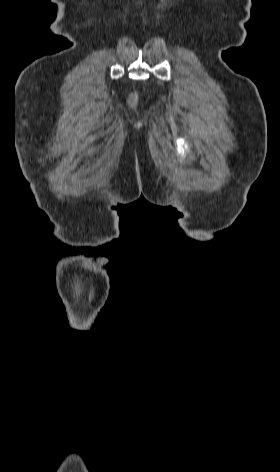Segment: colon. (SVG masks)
Here are the masks:
<instances>
[{
  "instance_id": "colon-1",
  "label": "colon",
  "mask_w": 280,
  "mask_h": 472,
  "mask_svg": "<svg viewBox=\"0 0 280 472\" xmlns=\"http://www.w3.org/2000/svg\"><path fill=\"white\" fill-rule=\"evenodd\" d=\"M136 100H137L136 95L132 94V95L129 97V104L133 106V105L136 103Z\"/></svg>"
}]
</instances>
